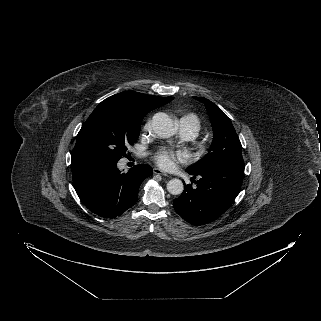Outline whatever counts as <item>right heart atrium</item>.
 Wrapping results in <instances>:
<instances>
[{
    "label": "right heart atrium",
    "instance_id": "obj_1",
    "mask_svg": "<svg viewBox=\"0 0 321 321\" xmlns=\"http://www.w3.org/2000/svg\"><path fill=\"white\" fill-rule=\"evenodd\" d=\"M148 126H149V123L146 124L145 128H148Z\"/></svg>",
    "mask_w": 321,
    "mask_h": 321
}]
</instances>
